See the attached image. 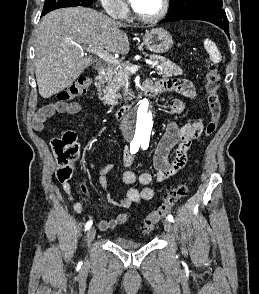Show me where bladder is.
<instances>
[{"mask_svg": "<svg viewBox=\"0 0 259 294\" xmlns=\"http://www.w3.org/2000/svg\"><path fill=\"white\" fill-rule=\"evenodd\" d=\"M114 243L117 246H119L123 249H127V250L138 249L143 245L142 242H137V241L131 240V239L124 237V236H117L115 238Z\"/></svg>", "mask_w": 259, "mask_h": 294, "instance_id": "31cf9c89", "label": "bladder"}]
</instances>
